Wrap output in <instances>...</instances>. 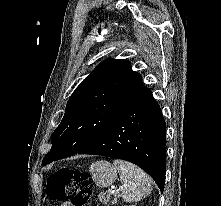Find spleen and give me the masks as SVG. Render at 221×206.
<instances>
[{
  "instance_id": "spleen-1",
  "label": "spleen",
  "mask_w": 221,
  "mask_h": 206,
  "mask_svg": "<svg viewBox=\"0 0 221 206\" xmlns=\"http://www.w3.org/2000/svg\"><path fill=\"white\" fill-rule=\"evenodd\" d=\"M113 163L120 172L124 201H140L151 193V179L142 169L122 160H114Z\"/></svg>"
}]
</instances>
